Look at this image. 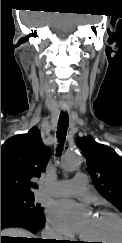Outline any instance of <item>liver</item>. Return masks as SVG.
I'll return each mask as SVG.
<instances>
[{
	"label": "liver",
	"mask_w": 122,
	"mask_h": 243,
	"mask_svg": "<svg viewBox=\"0 0 122 243\" xmlns=\"http://www.w3.org/2000/svg\"><path fill=\"white\" fill-rule=\"evenodd\" d=\"M1 236L33 238V234L20 228H7L1 231Z\"/></svg>",
	"instance_id": "1"
}]
</instances>
